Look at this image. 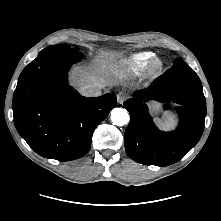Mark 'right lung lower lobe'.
<instances>
[{
  "instance_id": "right-lung-lower-lobe-1",
  "label": "right lung lower lobe",
  "mask_w": 221,
  "mask_h": 221,
  "mask_svg": "<svg viewBox=\"0 0 221 221\" xmlns=\"http://www.w3.org/2000/svg\"><path fill=\"white\" fill-rule=\"evenodd\" d=\"M81 57L79 52L42 50L19 76L14 124L43 157L68 161L85 155L95 128L116 106L113 93L87 98L68 86L67 72Z\"/></svg>"
}]
</instances>
